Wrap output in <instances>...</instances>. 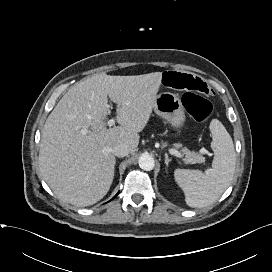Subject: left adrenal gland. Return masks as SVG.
Listing matches in <instances>:
<instances>
[{"mask_svg": "<svg viewBox=\"0 0 272 272\" xmlns=\"http://www.w3.org/2000/svg\"><path fill=\"white\" fill-rule=\"evenodd\" d=\"M169 162H170V159H169V157H168V154L166 153V154H165V164H166V166L169 165Z\"/></svg>", "mask_w": 272, "mask_h": 272, "instance_id": "a2214340", "label": "left adrenal gland"}]
</instances>
